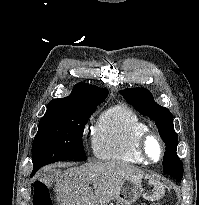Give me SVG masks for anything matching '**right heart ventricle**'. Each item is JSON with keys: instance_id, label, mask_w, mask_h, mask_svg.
I'll list each match as a JSON object with an SVG mask.
<instances>
[{"instance_id": "obj_1", "label": "right heart ventricle", "mask_w": 199, "mask_h": 205, "mask_svg": "<svg viewBox=\"0 0 199 205\" xmlns=\"http://www.w3.org/2000/svg\"><path fill=\"white\" fill-rule=\"evenodd\" d=\"M149 130L147 124L125 105H115L99 116L93 134V152L98 159L146 165L137 152V141Z\"/></svg>"}]
</instances>
